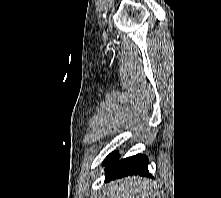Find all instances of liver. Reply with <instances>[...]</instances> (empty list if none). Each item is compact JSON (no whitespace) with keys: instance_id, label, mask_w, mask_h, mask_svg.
Instances as JSON below:
<instances>
[{"instance_id":"liver-1","label":"liver","mask_w":221,"mask_h":198,"mask_svg":"<svg viewBox=\"0 0 221 198\" xmlns=\"http://www.w3.org/2000/svg\"><path fill=\"white\" fill-rule=\"evenodd\" d=\"M108 198H160L159 191L150 180L125 177L112 181L107 186Z\"/></svg>"}]
</instances>
